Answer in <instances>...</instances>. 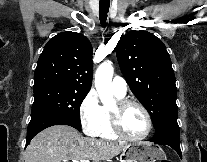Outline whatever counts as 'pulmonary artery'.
I'll list each match as a JSON object with an SVG mask.
<instances>
[{
  "label": "pulmonary artery",
  "instance_id": "1",
  "mask_svg": "<svg viewBox=\"0 0 207 162\" xmlns=\"http://www.w3.org/2000/svg\"><path fill=\"white\" fill-rule=\"evenodd\" d=\"M111 89L117 97H125L127 94L126 81L121 77H115L112 81Z\"/></svg>",
  "mask_w": 207,
  "mask_h": 162
}]
</instances>
